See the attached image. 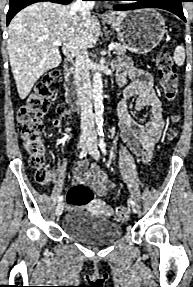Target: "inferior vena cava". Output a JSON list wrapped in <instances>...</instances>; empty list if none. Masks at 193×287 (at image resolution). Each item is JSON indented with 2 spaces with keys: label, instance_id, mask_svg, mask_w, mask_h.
I'll return each mask as SVG.
<instances>
[{
  "label": "inferior vena cava",
  "instance_id": "1",
  "mask_svg": "<svg viewBox=\"0 0 193 287\" xmlns=\"http://www.w3.org/2000/svg\"><path fill=\"white\" fill-rule=\"evenodd\" d=\"M93 7L94 1L77 0L71 6V10L78 12L83 19H87L90 17V11ZM75 79L81 107V138L93 139L96 137V133L94 130L92 88L90 83V59L85 47H81L76 55Z\"/></svg>",
  "mask_w": 193,
  "mask_h": 287
}]
</instances>
